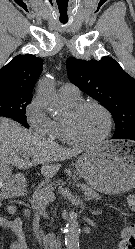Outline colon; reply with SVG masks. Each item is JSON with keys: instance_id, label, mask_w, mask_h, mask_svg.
<instances>
[{"instance_id": "5ec220e1", "label": "colon", "mask_w": 135, "mask_h": 249, "mask_svg": "<svg viewBox=\"0 0 135 249\" xmlns=\"http://www.w3.org/2000/svg\"><path fill=\"white\" fill-rule=\"evenodd\" d=\"M128 206L135 213V194L129 196ZM119 249H135V223L124 229Z\"/></svg>"}]
</instances>
